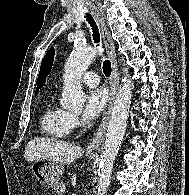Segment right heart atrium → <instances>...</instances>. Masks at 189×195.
<instances>
[{"mask_svg":"<svg viewBox=\"0 0 189 195\" xmlns=\"http://www.w3.org/2000/svg\"><path fill=\"white\" fill-rule=\"evenodd\" d=\"M79 125L78 117L74 114H70L69 117V129H74Z\"/></svg>","mask_w":189,"mask_h":195,"instance_id":"obj_1","label":"right heart atrium"}]
</instances>
